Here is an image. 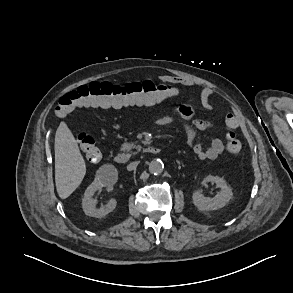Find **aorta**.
I'll return each mask as SVG.
<instances>
[{"label":"aorta","instance_id":"aorta-1","mask_svg":"<svg viewBox=\"0 0 293 293\" xmlns=\"http://www.w3.org/2000/svg\"><path fill=\"white\" fill-rule=\"evenodd\" d=\"M164 170V163L161 159H154L149 164V172L157 175L162 173Z\"/></svg>","mask_w":293,"mask_h":293}]
</instances>
